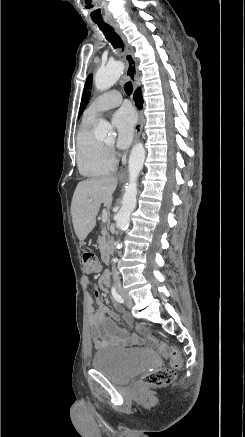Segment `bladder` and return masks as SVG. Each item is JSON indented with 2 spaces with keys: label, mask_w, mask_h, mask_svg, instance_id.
I'll list each match as a JSON object with an SVG mask.
<instances>
[{
  "label": "bladder",
  "mask_w": 245,
  "mask_h": 437,
  "mask_svg": "<svg viewBox=\"0 0 245 437\" xmlns=\"http://www.w3.org/2000/svg\"><path fill=\"white\" fill-rule=\"evenodd\" d=\"M154 352L140 349L106 348L95 353L92 368L115 384H126L157 365Z\"/></svg>",
  "instance_id": "1"
}]
</instances>
